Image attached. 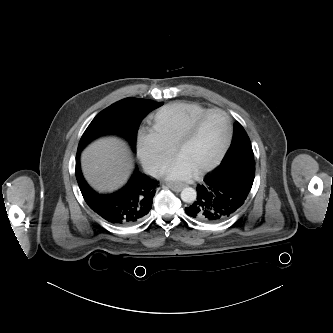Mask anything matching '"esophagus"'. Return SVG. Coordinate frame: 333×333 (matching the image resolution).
<instances>
[{"mask_svg":"<svg viewBox=\"0 0 333 333\" xmlns=\"http://www.w3.org/2000/svg\"><path fill=\"white\" fill-rule=\"evenodd\" d=\"M167 186L175 192H180L186 185L185 184L168 183Z\"/></svg>","mask_w":333,"mask_h":333,"instance_id":"34e87169","label":"esophagus"}]
</instances>
